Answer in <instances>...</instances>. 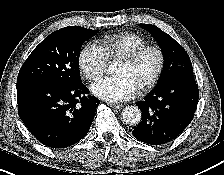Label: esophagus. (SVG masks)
<instances>
[{
    "instance_id": "1",
    "label": "esophagus",
    "mask_w": 224,
    "mask_h": 175,
    "mask_svg": "<svg viewBox=\"0 0 224 175\" xmlns=\"http://www.w3.org/2000/svg\"><path fill=\"white\" fill-rule=\"evenodd\" d=\"M109 106L113 109H122L123 108L122 104L109 103Z\"/></svg>"
}]
</instances>
